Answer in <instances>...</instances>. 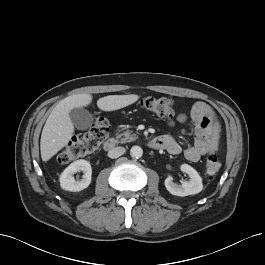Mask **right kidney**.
Segmentation results:
<instances>
[{
    "mask_svg": "<svg viewBox=\"0 0 265 265\" xmlns=\"http://www.w3.org/2000/svg\"><path fill=\"white\" fill-rule=\"evenodd\" d=\"M78 171H82L84 173L82 179L75 180L74 174ZM92 176V168L88 161L86 160H77L71 163L65 170L61 173L59 181L62 189L71 191V192H79L85 188H87L91 183Z\"/></svg>",
    "mask_w": 265,
    "mask_h": 265,
    "instance_id": "right-kidney-1",
    "label": "right kidney"
}]
</instances>
